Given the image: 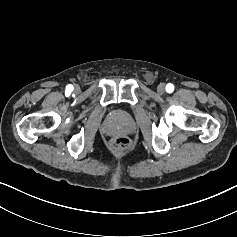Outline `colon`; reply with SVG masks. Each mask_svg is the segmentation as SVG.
Masks as SVG:
<instances>
[{"label":"colon","mask_w":237,"mask_h":237,"mask_svg":"<svg viewBox=\"0 0 237 237\" xmlns=\"http://www.w3.org/2000/svg\"><path fill=\"white\" fill-rule=\"evenodd\" d=\"M130 147L131 141L126 136L117 137L111 142V148L118 153L126 152Z\"/></svg>","instance_id":"colon-1"}]
</instances>
